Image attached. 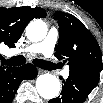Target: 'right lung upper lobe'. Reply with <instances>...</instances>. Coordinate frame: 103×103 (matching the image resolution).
<instances>
[{
  "label": "right lung upper lobe",
  "mask_w": 103,
  "mask_h": 103,
  "mask_svg": "<svg viewBox=\"0 0 103 103\" xmlns=\"http://www.w3.org/2000/svg\"><path fill=\"white\" fill-rule=\"evenodd\" d=\"M45 16L46 11L40 7L0 8V45L14 47L27 24L34 18ZM4 70L5 67L0 66V72Z\"/></svg>",
  "instance_id": "obj_1"
}]
</instances>
